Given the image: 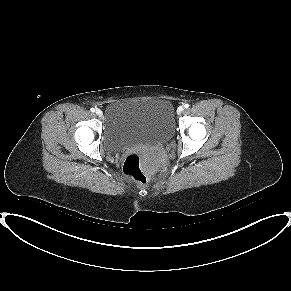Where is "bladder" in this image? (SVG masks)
Masks as SVG:
<instances>
[{
    "mask_svg": "<svg viewBox=\"0 0 291 291\" xmlns=\"http://www.w3.org/2000/svg\"><path fill=\"white\" fill-rule=\"evenodd\" d=\"M174 129L173 106L164 98L120 100L105 109V146L112 152L137 143L164 142Z\"/></svg>",
    "mask_w": 291,
    "mask_h": 291,
    "instance_id": "obj_1",
    "label": "bladder"
}]
</instances>
